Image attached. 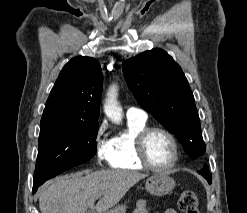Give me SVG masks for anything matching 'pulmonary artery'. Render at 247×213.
<instances>
[{
	"mask_svg": "<svg viewBox=\"0 0 247 213\" xmlns=\"http://www.w3.org/2000/svg\"><path fill=\"white\" fill-rule=\"evenodd\" d=\"M126 116L128 119H136L143 121L147 119V113L144 110L136 107L128 108Z\"/></svg>",
	"mask_w": 247,
	"mask_h": 213,
	"instance_id": "1",
	"label": "pulmonary artery"
}]
</instances>
